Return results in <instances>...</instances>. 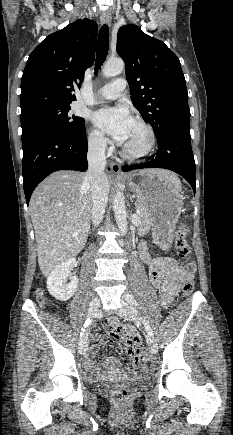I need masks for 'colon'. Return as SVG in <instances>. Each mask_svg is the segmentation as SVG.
<instances>
[{
    "mask_svg": "<svg viewBox=\"0 0 233 435\" xmlns=\"http://www.w3.org/2000/svg\"><path fill=\"white\" fill-rule=\"evenodd\" d=\"M188 227L184 223H179L177 225L176 233V248L179 257L183 260V266L189 273H194L196 271V263L192 259V249L187 241ZM194 289V284L191 279L182 282V293L184 297H188ZM38 302L44 306L46 304L45 299L41 294L38 295ZM126 346L133 348L131 341H127ZM141 357H146L147 353L145 351H140ZM105 393L109 395L117 405H122L126 403L129 399V392L125 388L115 387L106 388Z\"/></svg>",
    "mask_w": 233,
    "mask_h": 435,
    "instance_id": "1",
    "label": "colon"
}]
</instances>
